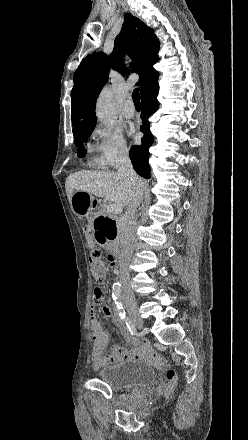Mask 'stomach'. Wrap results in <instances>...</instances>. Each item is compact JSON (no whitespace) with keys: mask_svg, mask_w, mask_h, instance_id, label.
Masks as SVG:
<instances>
[{"mask_svg":"<svg viewBox=\"0 0 248 440\" xmlns=\"http://www.w3.org/2000/svg\"><path fill=\"white\" fill-rule=\"evenodd\" d=\"M97 199L94 195L84 191H75L70 199L73 212L79 216H87L95 207ZM110 209H98L94 223L90 224V231L95 232L97 246H114L119 232L117 218H110Z\"/></svg>","mask_w":248,"mask_h":440,"instance_id":"1","label":"stomach"}]
</instances>
